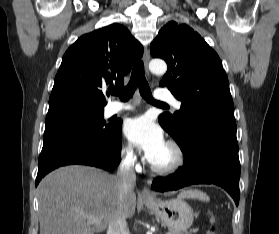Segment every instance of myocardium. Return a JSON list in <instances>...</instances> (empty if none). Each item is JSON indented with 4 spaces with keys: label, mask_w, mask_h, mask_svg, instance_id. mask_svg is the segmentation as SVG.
<instances>
[{
    "label": "myocardium",
    "mask_w": 279,
    "mask_h": 234,
    "mask_svg": "<svg viewBox=\"0 0 279 234\" xmlns=\"http://www.w3.org/2000/svg\"><path fill=\"white\" fill-rule=\"evenodd\" d=\"M166 146L168 148H170V150L172 151V154H173V158H172L171 162H169L168 164H165V165H157V164H154L152 161L148 160L150 169L154 173L159 174V175L172 174V173L176 172L177 170H179L184 165V162H185V154L177 142L170 140L166 143Z\"/></svg>",
    "instance_id": "myocardium-1"
}]
</instances>
